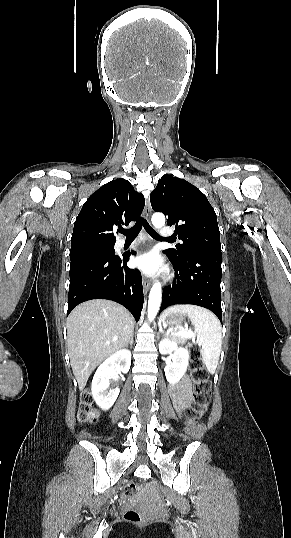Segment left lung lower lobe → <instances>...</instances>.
Returning a JSON list of instances; mask_svg holds the SVG:
<instances>
[{
    "instance_id": "left-lung-lower-lobe-1",
    "label": "left lung lower lobe",
    "mask_w": 291,
    "mask_h": 538,
    "mask_svg": "<svg viewBox=\"0 0 291 538\" xmlns=\"http://www.w3.org/2000/svg\"><path fill=\"white\" fill-rule=\"evenodd\" d=\"M169 259L175 271V281L164 288L159 313L175 304H193L210 309L222 322L221 253L195 251L180 260Z\"/></svg>"
}]
</instances>
